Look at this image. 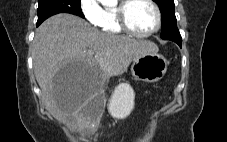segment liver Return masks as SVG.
<instances>
[{
  "mask_svg": "<svg viewBox=\"0 0 227 142\" xmlns=\"http://www.w3.org/2000/svg\"><path fill=\"white\" fill-rule=\"evenodd\" d=\"M157 51L151 41L102 33L82 18L62 13L36 30L33 69L47 110L69 126L85 130L90 127L78 119V113L101 92L97 75L100 79L121 75L136 57ZM64 61H87V66L80 68H87L94 78L81 81L80 88H59L60 81H54V76Z\"/></svg>",
  "mask_w": 227,
  "mask_h": 142,
  "instance_id": "liver-1",
  "label": "liver"
}]
</instances>
